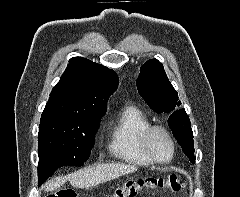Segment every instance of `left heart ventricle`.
I'll return each mask as SVG.
<instances>
[{
    "instance_id": "1",
    "label": "left heart ventricle",
    "mask_w": 240,
    "mask_h": 197,
    "mask_svg": "<svg viewBox=\"0 0 240 197\" xmlns=\"http://www.w3.org/2000/svg\"><path fill=\"white\" fill-rule=\"evenodd\" d=\"M151 147L160 160H167L171 156V143L162 132H156L151 138Z\"/></svg>"
}]
</instances>
